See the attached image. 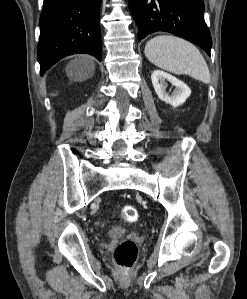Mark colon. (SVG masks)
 <instances>
[{
  "label": "colon",
  "instance_id": "colon-1",
  "mask_svg": "<svg viewBox=\"0 0 247 299\" xmlns=\"http://www.w3.org/2000/svg\"><path fill=\"white\" fill-rule=\"evenodd\" d=\"M121 216L127 222H134L138 218V212L132 205H125L121 209ZM137 258V245L131 239L121 241L114 251V259L122 269H130Z\"/></svg>",
  "mask_w": 247,
  "mask_h": 299
}]
</instances>
